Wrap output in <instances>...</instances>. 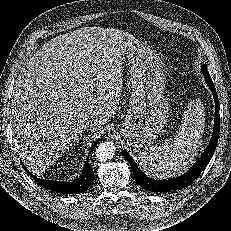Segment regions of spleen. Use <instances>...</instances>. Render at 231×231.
I'll return each instance as SVG.
<instances>
[{
  "label": "spleen",
  "instance_id": "1",
  "mask_svg": "<svg viewBox=\"0 0 231 231\" xmlns=\"http://www.w3.org/2000/svg\"><path fill=\"white\" fill-rule=\"evenodd\" d=\"M187 108L173 139L168 138L158 147L152 146L139 152V164L146 175L171 178L181 173L197 157L205 124L203 107L201 101L195 99Z\"/></svg>",
  "mask_w": 231,
  "mask_h": 231
}]
</instances>
